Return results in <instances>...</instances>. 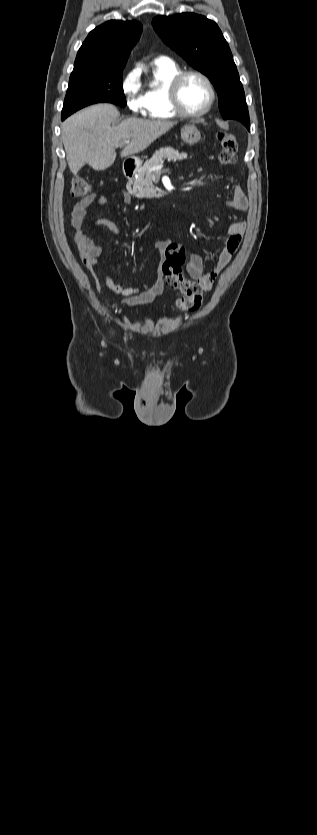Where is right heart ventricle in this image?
Listing matches in <instances>:
<instances>
[{
	"instance_id": "e07e8e85",
	"label": "right heart ventricle",
	"mask_w": 317,
	"mask_h": 835,
	"mask_svg": "<svg viewBox=\"0 0 317 835\" xmlns=\"http://www.w3.org/2000/svg\"><path fill=\"white\" fill-rule=\"evenodd\" d=\"M152 82L143 93L145 111L148 117L157 120L173 119L179 115L172 107L169 98V85L171 80L181 68L172 60L164 59L154 61Z\"/></svg>"
}]
</instances>
